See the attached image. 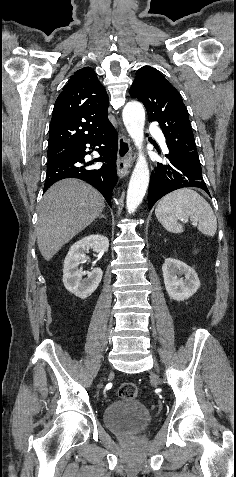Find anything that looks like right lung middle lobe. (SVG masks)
I'll return each instance as SVG.
<instances>
[{"label": "right lung middle lobe", "mask_w": 236, "mask_h": 477, "mask_svg": "<svg viewBox=\"0 0 236 477\" xmlns=\"http://www.w3.org/2000/svg\"><path fill=\"white\" fill-rule=\"evenodd\" d=\"M61 160H63V159H62L61 157H58V156L48 157V162H54V163H56V162H59V161H61Z\"/></svg>", "instance_id": "dd1d6c3e"}]
</instances>
